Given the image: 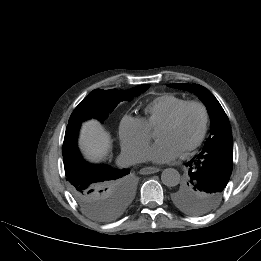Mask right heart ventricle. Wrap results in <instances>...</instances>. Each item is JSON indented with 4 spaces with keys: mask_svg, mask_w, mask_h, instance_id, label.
I'll return each instance as SVG.
<instances>
[{
    "mask_svg": "<svg viewBox=\"0 0 261 261\" xmlns=\"http://www.w3.org/2000/svg\"><path fill=\"white\" fill-rule=\"evenodd\" d=\"M186 101L187 99L173 94L160 95L146 105L145 115L141 119L150 132L154 131Z\"/></svg>",
    "mask_w": 261,
    "mask_h": 261,
    "instance_id": "e07e8e85",
    "label": "right heart ventricle"
}]
</instances>
